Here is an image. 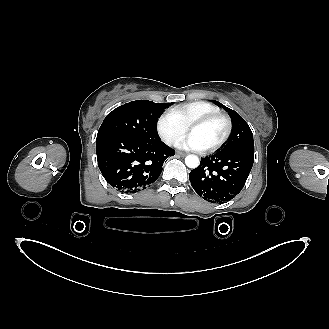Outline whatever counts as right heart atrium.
I'll return each mask as SVG.
<instances>
[{
	"mask_svg": "<svg viewBox=\"0 0 329 329\" xmlns=\"http://www.w3.org/2000/svg\"><path fill=\"white\" fill-rule=\"evenodd\" d=\"M156 131L165 144L173 146L184 136L186 127L171 110H168L157 118Z\"/></svg>",
	"mask_w": 329,
	"mask_h": 329,
	"instance_id": "obj_1",
	"label": "right heart atrium"
}]
</instances>
